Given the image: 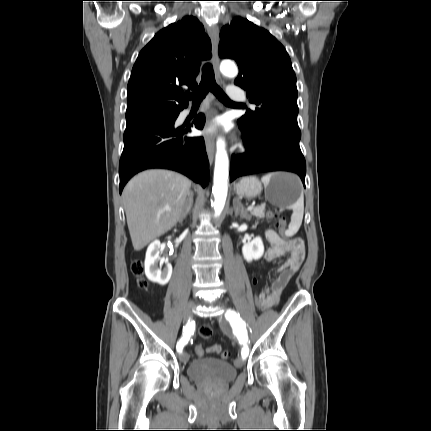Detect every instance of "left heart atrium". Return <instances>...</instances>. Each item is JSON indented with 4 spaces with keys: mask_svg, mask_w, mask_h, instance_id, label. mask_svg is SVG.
Here are the masks:
<instances>
[{
    "mask_svg": "<svg viewBox=\"0 0 431 431\" xmlns=\"http://www.w3.org/2000/svg\"><path fill=\"white\" fill-rule=\"evenodd\" d=\"M213 130H214V127H209V128H208V131H209V132H212Z\"/></svg>",
    "mask_w": 431,
    "mask_h": 431,
    "instance_id": "39dd6f15",
    "label": "left heart atrium"
}]
</instances>
